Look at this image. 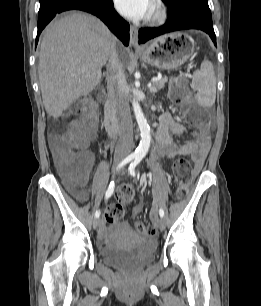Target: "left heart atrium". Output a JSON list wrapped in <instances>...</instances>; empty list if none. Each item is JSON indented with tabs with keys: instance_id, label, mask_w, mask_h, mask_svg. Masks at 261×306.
Listing matches in <instances>:
<instances>
[{
	"instance_id": "1",
	"label": "left heart atrium",
	"mask_w": 261,
	"mask_h": 306,
	"mask_svg": "<svg viewBox=\"0 0 261 306\" xmlns=\"http://www.w3.org/2000/svg\"><path fill=\"white\" fill-rule=\"evenodd\" d=\"M116 9L130 19H142L148 16L153 7V0H114Z\"/></svg>"
}]
</instances>
